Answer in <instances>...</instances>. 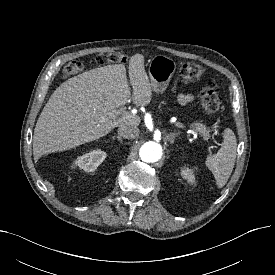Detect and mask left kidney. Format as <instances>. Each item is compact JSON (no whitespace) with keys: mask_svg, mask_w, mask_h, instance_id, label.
I'll list each match as a JSON object with an SVG mask.
<instances>
[{"mask_svg":"<svg viewBox=\"0 0 275 275\" xmlns=\"http://www.w3.org/2000/svg\"><path fill=\"white\" fill-rule=\"evenodd\" d=\"M181 175L184 179L187 180L188 183L193 184L195 182V175L193 169H190L188 167H182Z\"/></svg>","mask_w":275,"mask_h":275,"instance_id":"left-kidney-1","label":"left kidney"}]
</instances>
